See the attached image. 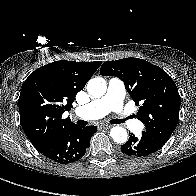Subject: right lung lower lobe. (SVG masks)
I'll list each match as a JSON object with an SVG mask.
<instances>
[{
	"instance_id": "98d812e1",
	"label": "right lung lower lobe",
	"mask_w": 196,
	"mask_h": 196,
	"mask_svg": "<svg viewBox=\"0 0 196 196\" xmlns=\"http://www.w3.org/2000/svg\"><path fill=\"white\" fill-rule=\"evenodd\" d=\"M96 129V126L79 127L74 124L37 149V151L61 164L75 162L89 148L90 139Z\"/></svg>"
}]
</instances>
